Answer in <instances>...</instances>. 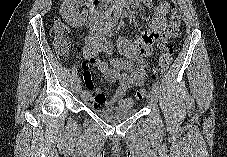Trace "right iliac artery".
Instances as JSON below:
<instances>
[{
  "label": "right iliac artery",
  "mask_w": 227,
  "mask_h": 157,
  "mask_svg": "<svg viewBox=\"0 0 227 157\" xmlns=\"http://www.w3.org/2000/svg\"><path fill=\"white\" fill-rule=\"evenodd\" d=\"M76 82L77 83H80L81 82V79L80 78H76Z\"/></svg>",
  "instance_id": "82829eb1"
}]
</instances>
